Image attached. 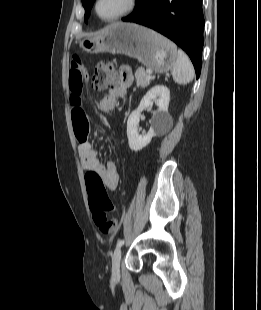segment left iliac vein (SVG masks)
Here are the masks:
<instances>
[{
    "label": "left iliac vein",
    "instance_id": "left-iliac-vein-1",
    "mask_svg": "<svg viewBox=\"0 0 261 310\" xmlns=\"http://www.w3.org/2000/svg\"><path fill=\"white\" fill-rule=\"evenodd\" d=\"M121 246L117 247L112 256V277L117 280L120 277V260H121Z\"/></svg>",
    "mask_w": 261,
    "mask_h": 310
}]
</instances>
